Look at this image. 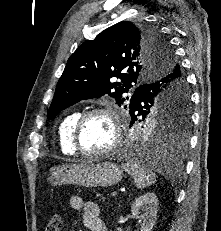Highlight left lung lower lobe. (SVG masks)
<instances>
[{
	"label": "left lung lower lobe",
	"mask_w": 221,
	"mask_h": 231,
	"mask_svg": "<svg viewBox=\"0 0 221 231\" xmlns=\"http://www.w3.org/2000/svg\"><path fill=\"white\" fill-rule=\"evenodd\" d=\"M179 80L178 84L174 80ZM180 85L183 89L187 90V84L185 78L179 76V72L174 71L173 73L149 82L147 84L141 85L134 91L131 97V101L138 103V106L144 102L146 98H149L155 94H161L165 92L173 93V90ZM175 92V91H174ZM175 96V97H174ZM189 96V93H188ZM174 107H182L186 104L187 100L182 99V97H177V95H172L170 100ZM134 121V120H133ZM133 121L131 123H133ZM187 147V137L185 135H176L175 137H165L160 136L156 133L149 135L145 139L139 140L138 147L133 151L136 158L142 160H152L161 163H166L170 166L169 153L177 157L181 156Z\"/></svg>",
	"instance_id": "1"
}]
</instances>
